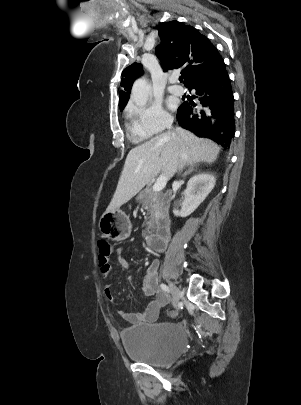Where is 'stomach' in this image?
Segmentation results:
<instances>
[{
	"instance_id": "0dacf381",
	"label": "stomach",
	"mask_w": 301,
	"mask_h": 405,
	"mask_svg": "<svg viewBox=\"0 0 301 405\" xmlns=\"http://www.w3.org/2000/svg\"><path fill=\"white\" fill-rule=\"evenodd\" d=\"M99 229L104 237L114 241H122L130 236L131 222L120 209L103 213L99 220Z\"/></svg>"
}]
</instances>
